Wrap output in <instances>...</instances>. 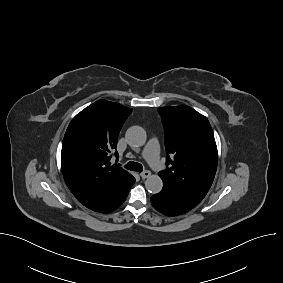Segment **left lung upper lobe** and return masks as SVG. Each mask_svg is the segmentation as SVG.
Listing matches in <instances>:
<instances>
[{
	"mask_svg": "<svg viewBox=\"0 0 283 283\" xmlns=\"http://www.w3.org/2000/svg\"><path fill=\"white\" fill-rule=\"evenodd\" d=\"M165 149L163 184L172 187L191 205H198L209 191L217 169L218 153L208 119L186 105L158 108Z\"/></svg>",
	"mask_w": 283,
	"mask_h": 283,
	"instance_id": "obj_1",
	"label": "left lung upper lobe"
}]
</instances>
